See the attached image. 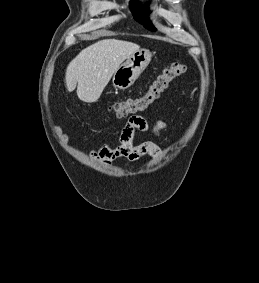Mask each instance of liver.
<instances>
[{
  "label": "liver",
  "mask_w": 259,
  "mask_h": 283,
  "mask_svg": "<svg viewBox=\"0 0 259 283\" xmlns=\"http://www.w3.org/2000/svg\"><path fill=\"white\" fill-rule=\"evenodd\" d=\"M139 49L135 43L117 39H105L90 45L67 66V90L71 92L77 85L80 100L96 102L123 61Z\"/></svg>",
  "instance_id": "liver-1"
}]
</instances>
